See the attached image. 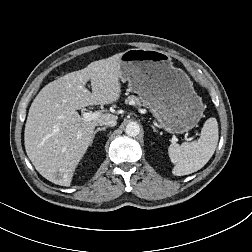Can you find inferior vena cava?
<instances>
[{
    "label": "inferior vena cava",
    "mask_w": 252,
    "mask_h": 252,
    "mask_svg": "<svg viewBox=\"0 0 252 252\" xmlns=\"http://www.w3.org/2000/svg\"><path fill=\"white\" fill-rule=\"evenodd\" d=\"M116 124H117V121L115 119H110L107 121H101L99 122L98 125H106V126L114 127L116 126Z\"/></svg>",
    "instance_id": "inferior-vena-cava-1"
}]
</instances>
